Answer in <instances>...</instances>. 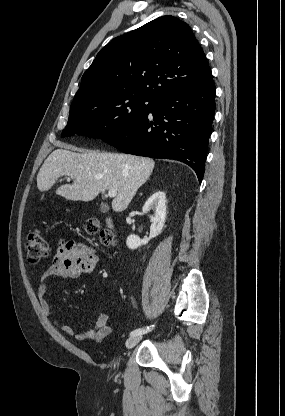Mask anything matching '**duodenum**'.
I'll use <instances>...</instances> for the list:
<instances>
[{"label": "duodenum", "mask_w": 285, "mask_h": 416, "mask_svg": "<svg viewBox=\"0 0 285 416\" xmlns=\"http://www.w3.org/2000/svg\"><path fill=\"white\" fill-rule=\"evenodd\" d=\"M108 225H109L110 230L115 232V227H114V224L111 220L108 221Z\"/></svg>", "instance_id": "1"}]
</instances>
